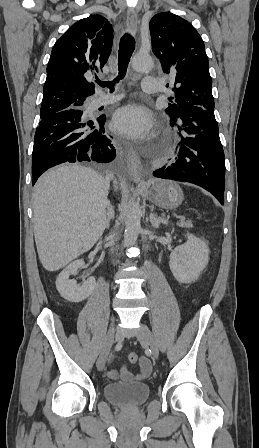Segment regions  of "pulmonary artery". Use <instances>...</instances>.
<instances>
[{
	"mask_svg": "<svg viewBox=\"0 0 259 448\" xmlns=\"http://www.w3.org/2000/svg\"><path fill=\"white\" fill-rule=\"evenodd\" d=\"M99 97L96 99V104H105V103H112L117 100H119L122 95H114V96H102L98 93Z\"/></svg>",
	"mask_w": 259,
	"mask_h": 448,
	"instance_id": "pulmonary-artery-1",
	"label": "pulmonary artery"
}]
</instances>
